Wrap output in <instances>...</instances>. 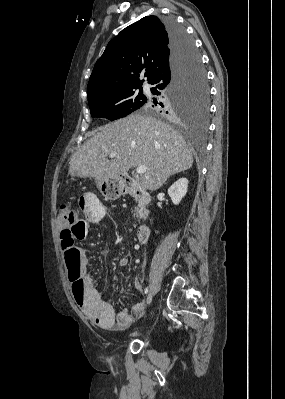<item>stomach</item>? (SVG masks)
<instances>
[{
    "label": "stomach",
    "mask_w": 285,
    "mask_h": 399,
    "mask_svg": "<svg viewBox=\"0 0 285 399\" xmlns=\"http://www.w3.org/2000/svg\"><path fill=\"white\" fill-rule=\"evenodd\" d=\"M96 185L105 198L109 200L118 199L124 191V180L122 177L97 179Z\"/></svg>",
    "instance_id": "obj_1"
}]
</instances>
